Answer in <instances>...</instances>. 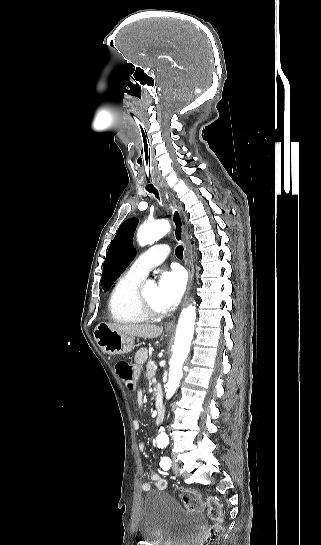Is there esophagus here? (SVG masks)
<instances>
[{"mask_svg": "<svg viewBox=\"0 0 321 545\" xmlns=\"http://www.w3.org/2000/svg\"><path fill=\"white\" fill-rule=\"evenodd\" d=\"M161 191L164 195V199L167 202L168 209L170 210L172 222L174 225V238L177 242L181 241L184 244V265L188 272V285L184 302L189 294L191 284L193 281L194 267H193V251L192 245L189 240L187 231V217L181 205H175L172 203L171 194L166 185H161ZM183 302V303H184ZM175 326L174 321L166 323V329H173Z\"/></svg>", "mask_w": 321, "mask_h": 545, "instance_id": "34e87169", "label": "esophagus"}]
</instances>
